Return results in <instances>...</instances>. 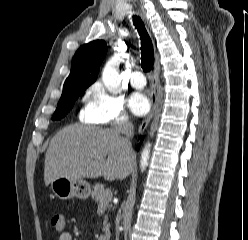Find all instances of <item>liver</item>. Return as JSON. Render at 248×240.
Returning a JSON list of instances; mask_svg holds the SVG:
<instances>
[{
  "label": "liver",
  "mask_w": 248,
  "mask_h": 240,
  "mask_svg": "<svg viewBox=\"0 0 248 240\" xmlns=\"http://www.w3.org/2000/svg\"><path fill=\"white\" fill-rule=\"evenodd\" d=\"M135 155L113 128L70 125L51 140L45 155L44 181L54 179H124L133 170Z\"/></svg>",
  "instance_id": "liver-1"
}]
</instances>
